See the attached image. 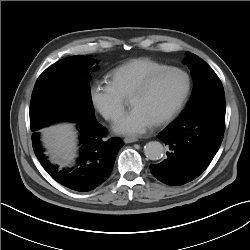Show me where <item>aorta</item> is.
<instances>
[{"label":"aorta","instance_id":"762f6f07","mask_svg":"<svg viewBox=\"0 0 250 250\" xmlns=\"http://www.w3.org/2000/svg\"><path fill=\"white\" fill-rule=\"evenodd\" d=\"M144 154L150 160H159L163 157L164 147L157 141L148 142L144 147Z\"/></svg>","mask_w":250,"mask_h":250}]
</instances>
